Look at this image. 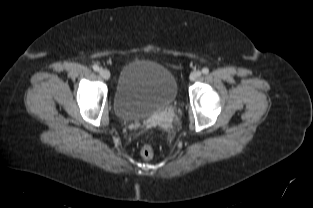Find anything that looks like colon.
<instances>
[{
	"label": "colon",
	"mask_w": 313,
	"mask_h": 208,
	"mask_svg": "<svg viewBox=\"0 0 313 208\" xmlns=\"http://www.w3.org/2000/svg\"><path fill=\"white\" fill-rule=\"evenodd\" d=\"M140 154L144 159H151L154 156V149L151 145L145 144L142 146Z\"/></svg>",
	"instance_id": "1"
}]
</instances>
